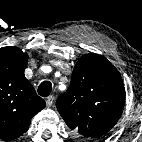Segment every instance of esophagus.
I'll return each mask as SVG.
<instances>
[{
	"label": "esophagus",
	"mask_w": 142,
	"mask_h": 142,
	"mask_svg": "<svg viewBox=\"0 0 142 142\" xmlns=\"http://www.w3.org/2000/svg\"><path fill=\"white\" fill-rule=\"evenodd\" d=\"M53 102H54V96L51 95V96L47 97V99H46L47 107H51L53 105Z\"/></svg>",
	"instance_id": "1"
}]
</instances>
